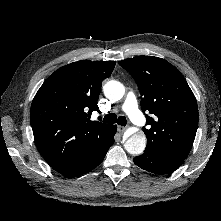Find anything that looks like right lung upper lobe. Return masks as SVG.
Masks as SVG:
<instances>
[{
  "label": "right lung upper lobe",
  "mask_w": 221,
  "mask_h": 221,
  "mask_svg": "<svg viewBox=\"0 0 221 221\" xmlns=\"http://www.w3.org/2000/svg\"><path fill=\"white\" fill-rule=\"evenodd\" d=\"M114 61L81 60L55 71L38 90L30 112L35 144L56 171L99 151L112 125L89 120L98 109L101 83Z\"/></svg>",
  "instance_id": "obj_1"
}]
</instances>
